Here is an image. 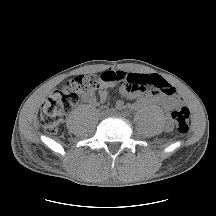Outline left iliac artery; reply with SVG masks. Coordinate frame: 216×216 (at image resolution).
Returning <instances> with one entry per match:
<instances>
[{"label": "left iliac artery", "instance_id": "obj_1", "mask_svg": "<svg viewBox=\"0 0 216 216\" xmlns=\"http://www.w3.org/2000/svg\"><path fill=\"white\" fill-rule=\"evenodd\" d=\"M123 115H124V116H128V115H129V112H128V111H124V112H123Z\"/></svg>", "mask_w": 216, "mask_h": 216}]
</instances>
